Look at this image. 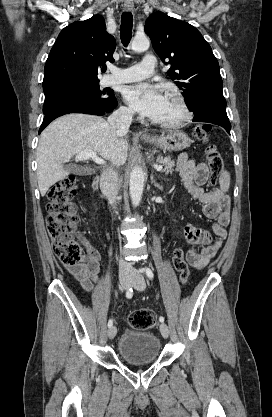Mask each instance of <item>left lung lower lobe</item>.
I'll use <instances>...</instances> for the list:
<instances>
[{
	"label": "left lung lower lobe",
	"mask_w": 272,
	"mask_h": 417,
	"mask_svg": "<svg viewBox=\"0 0 272 417\" xmlns=\"http://www.w3.org/2000/svg\"><path fill=\"white\" fill-rule=\"evenodd\" d=\"M193 121H195V122H208V123L219 125V126L223 127L230 134V129H231V124L230 123H227V122H224V121L212 118V117L200 118V117H197V116H195L193 118Z\"/></svg>",
	"instance_id": "0a47b994"
}]
</instances>
